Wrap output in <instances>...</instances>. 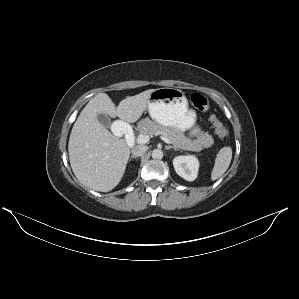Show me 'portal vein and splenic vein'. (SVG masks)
I'll return each instance as SVG.
<instances>
[{"mask_svg": "<svg viewBox=\"0 0 299 299\" xmlns=\"http://www.w3.org/2000/svg\"><path fill=\"white\" fill-rule=\"evenodd\" d=\"M165 143L167 144H172L171 141L166 138L165 136H161L160 137ZM150 140V137L148 135L145 134H140L137 138H136V142L139 144H146L148 143Z\"/></svg>", "mask_w": 299, "mask_h": 299, "instance_id": "portal-vein-and-splenic-vein-1", "label": "portal vein and splenic vein"}]
</instances>
